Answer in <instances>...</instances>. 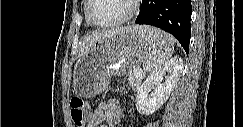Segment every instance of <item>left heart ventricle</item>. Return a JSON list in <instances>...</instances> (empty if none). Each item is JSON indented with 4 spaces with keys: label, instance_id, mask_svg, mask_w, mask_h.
Instances as JSON below:
<instances>
[{
    "label": "left heart ventricle",
    "instance_id": "b2bd125f",
    "mask_svg": "<svg viewBox=\"0 0 243 127\" xmlns=\"http://www.w3.org/2000/svg\"><path fill=\"white\" fill-rule=\"evenodd\" d=\"M129 9L128 0H94L92 17L99 23L111 22L125 16Z\"/></svg>",
    "mask_w": 243,
    "mask_h": 127
}]
</instances>
